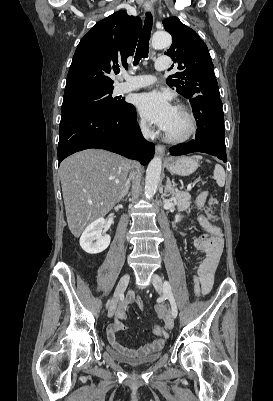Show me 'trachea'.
I'll list each match as a JSON object with an SVG mask.
<instances>
[{"label":"trachea","instance_id":"trachea-1","mask_svg":"<svg viewBox=\"0 0 273 401\" xmlns=\"http://www.w3.org/2000/svg\"><path fill=\"white\" fill-rule=\"evenodd\" d=\"M153 25V18L150 12L146 13L144 27L139 37L136 54L134 57V65H137L141 58H147L149 53V40Z\"/></svg>","mask_w":273,"mask_h":401}]
</instances>
